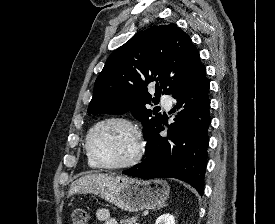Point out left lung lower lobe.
Listing matches in <instances>:
<instances>
[{"mask_svg": "<svg viewBox=\"0 0 275 224\" xmlns=\"http://www.w3.org/2000/svg\"><path fill=\"white\" fill-rule=\"evenodd\" d=\"M209 88L203 66L172 93L176 99L174 110L181 111L168 128V137L159 135L164 130V121H161L145 137L142 162L123 173L143 179L177 178L203 194L211 123Z\"/></svg>", "mask_w": 275, "mask_h": 224, "instance_id": "obj_1", "label": "left lung lower lobe"}]
</instances>
